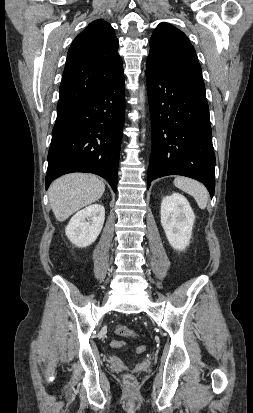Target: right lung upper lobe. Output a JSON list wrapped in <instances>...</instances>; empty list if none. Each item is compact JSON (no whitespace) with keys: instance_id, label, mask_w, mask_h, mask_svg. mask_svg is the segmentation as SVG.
<instances>
[{"instance_id":"right-lung-upper-lobe-1","label":"right lung upper lobe","mask_w":253,"mask_h":413,"mask_svg":"<svg viewBox=\"0 0 253 413\" xmlns=\"http://www.w3.org/2000/svg\"><path fill=\"white\" fill-rule=\"evenodd\" d=\"M114 29L99 19L88 25L69 48L57 108L84 99L123 73Z\"/></svg>"}]
</instances>
